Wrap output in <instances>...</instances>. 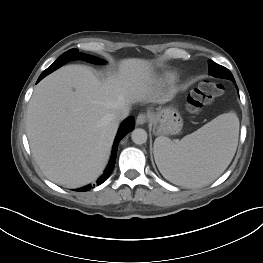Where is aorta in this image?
Returning a JSON list of instances; mask_svg holds the SVG:
<instances>
[{"instance_id":"1","label":"aorta","mask_w":263,"mask_h":263,"mask_svg":"<svg viewBox=\"0 0 263 263\" xmlns=\"http://www.w3.org/2000/svg\"><path fill=\"white\" fill-rule=\"evenodd\" d=\"M131 138L135 144H144L147 141V132L142 128H136L132 131Z\"/></svg>"}]
</instances>
